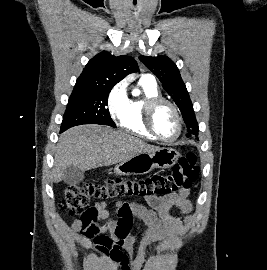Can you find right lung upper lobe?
<instances>
[{
    "label": "right lung upper lobe",
    "instance_id": "1",
    "mask_svg": "<svg viewBox=\"0 0 267 270\" xmlns=\"http://www.w3.org/2000/svg\"><path fill=\"white\" fill-rule=\"evenodd\" d=\"M139 72L136 61L126 55L101 52L91 59L76 81L75 87H113L130 73Z\"/></svg>",
    "mask_w": 267,
    "mask_h": 270
}]
</instances>
